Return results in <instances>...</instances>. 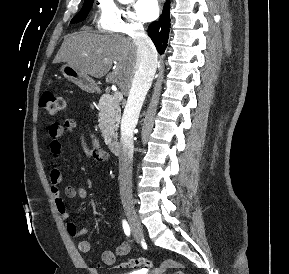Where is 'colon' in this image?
<instances>
[{"label":"colon","mask_w":289,"mask_h":274,"mask_svg":"<svg viewBox=\"0 0 289 274\" xmlns=\"http://www.w3.org/2000/svg\"><path fill=\"white\" fill-rule=\"evenodd\" d=\"M40 105L48 113L55 115L64 108L65 101L64 98L59 95H56L52 92H44L40 100ZM151 266L152 263L149 259L145 257H138L123 262L118 266H116V268L131 269L133 271H140L143 273L148 271L151 268ZM168 269L173 270V274H185L183 266L172 260L163 261L158 270L164 271Z\"/></svg>","instance_id":"5ec220e1"}]
</instances>
